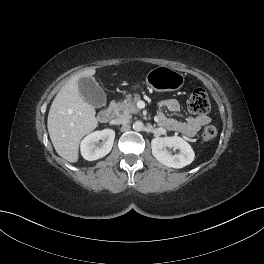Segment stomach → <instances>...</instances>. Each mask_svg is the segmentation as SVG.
<instances>
[{
    "label": "stomach",
    "instance_id": "obj_1",
    "mask_svg": "<svg viewBox=\"0 0 264 264\" xmlns=\"http://www.w3.org/2000/svg\"><path fill=\"white\" fill-rule=\"evenodd\" d=\"M146 84L157 92H168L180 89L185 82V77L167 66H158L146 75ZM139 85H134L137 89Z\"/></svg>",
    "mask_w": 264,
    "mask_h": 264
}]
</instances>
